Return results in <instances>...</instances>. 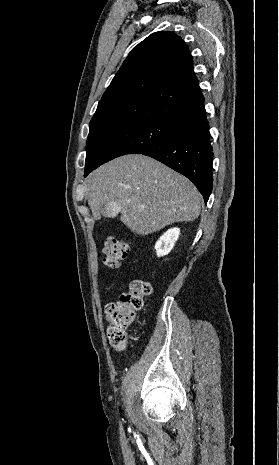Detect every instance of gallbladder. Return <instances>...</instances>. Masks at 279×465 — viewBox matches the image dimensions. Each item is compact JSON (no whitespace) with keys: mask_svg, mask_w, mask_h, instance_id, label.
Returning a JSON list of instances; mask_svg holds the SVG:
<instances>
[{"mask_svg":"<svg viewBox=\"0 0 279 465\" xmlns=\"http://www.w3.org/2000/svg\"><path fill=\"white\" fill-rule=\"evenodd\" d=\"M113 209H115L116 211L112 212ZM117 209H118V204L106 203L105 206L102 208V213L106 214L108 218H114L117 215Z\"/></svg>","mask_w":279,"mask_h":465,"instance_id":"1","label":"gallbladder"}]
</instances>
